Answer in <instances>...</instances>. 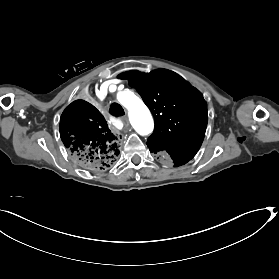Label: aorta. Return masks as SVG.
Masks as SVG:
<instances>
[{"mask_svg": "<svg viewBox=\"0 0 279 279\" xmlns=\"http://www.w3.org/2000/svg\"><path fill=\"white\" fill-rule=\"evenodd\" d=\"M118 101L128 110L129 120L140 135H148L154 129V121L148 107L132 91L126 90L117 94Z\"/></svg>", "mask_w": 279, "mask_h": 279, "instance_id": "aorta-1", "label": "aorta"}]
</instances>
